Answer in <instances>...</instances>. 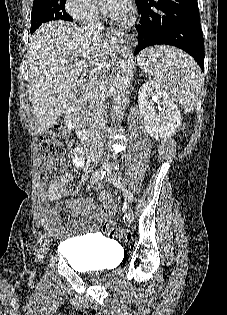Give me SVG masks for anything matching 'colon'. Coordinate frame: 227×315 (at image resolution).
Returning a JSON list of instances; mask_svg holds the SVG:
<instances>
[{"label":"colon","mask_w":227,"mask_h":315,"mask_svg":"<svg viewBox=\"0 0 227 315\" xmlns=\"http://www.w3.org/2000/svg\"><path fill=\"white\" fill-rule=\"evenodd\" d=\"M67 139L68 131L62 123L51 125L42 134L40 139V156L42 161L40 178L42 181L47 182L56 177L57 173L54 169V163L58 157L63 155ZM101 212L105 214L107 212L106 208L102 207ZM104 232L109 236L123 237L126 235L114 221L105 223Z\"/></svg>","instance_id":"colon-1"}]
</instances>
